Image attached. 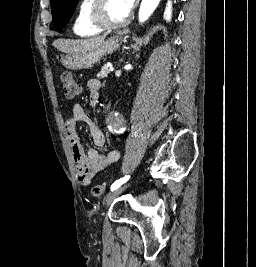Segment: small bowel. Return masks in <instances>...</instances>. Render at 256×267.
<instances>
[{"mask_svg":"<svg viewBox=\"0 0 256 267\" xmlns=\"http://www.w3.org/2000/svg\"><path fill=\"white\" fill-rule=\"evenodd\" d=\"M89 104L96 107L100 98L101 82L90 79L87 82ZM84 122L89 130L94 147H85V139L78 130V123ZM65 133L71 147L76 173L83 185H89L96 173L117 162L120 153L108 149L101 128L86 114L81 105H75L65 122ZM98 149L103 150L100 152Z\"/></svg>","mask_w":256,"mask_h":267,"instance_id":"obj_1","label":"small bowel"}]
</instances>
